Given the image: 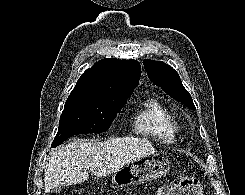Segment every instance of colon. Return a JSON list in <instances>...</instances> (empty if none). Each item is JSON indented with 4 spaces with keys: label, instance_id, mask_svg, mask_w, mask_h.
Listing matches in <instances>:
<instances>
[{
    "label": "colon",
    "instance_id": "colon-1",
    "mask_svg": "<svg viewBox=\"0 0 245 195\" xmlns=\"http://www.w3.org/2000/svg\"><path fill=\"white\" fill-rule=\"evenodd\" d=\"M157 195H201V184L195 177H183L162 187Z\"/></svg>",
    "mask_w": 245,
    "mask_h": 195
}]
</instances>
